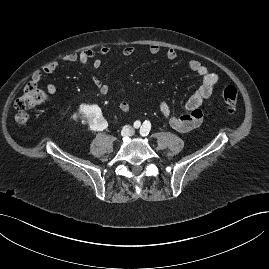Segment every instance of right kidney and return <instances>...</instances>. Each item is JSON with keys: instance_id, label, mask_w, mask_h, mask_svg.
I'll return each instance as SVG.
<instances>
[{"instance_id": "1", "label": "right kidney", "mask_w": 269, "mask_h": 269, "mask_svg": "<svg viewBox=\"0 0 269 269\" xmlns=\"http://www.w3.org/2000/svg\"><path fill=\"white\" fill-rule=\"evenodd\" d=\"M81 111L84 112L91 127L102 129L106 122L102 118L101 110L96 106H82Z\"/></svg>"}]
</instances>
